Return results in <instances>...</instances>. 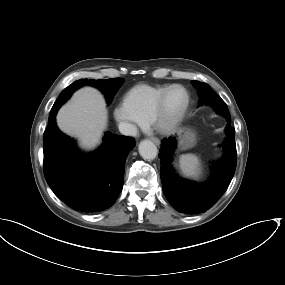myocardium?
Masks as SVG:
<instances>
[{"label": "myocardium", "mask_w": 285, "mask_h": 285, "mask_svg": "<svg viewBox=\"0 0 285 285\" xmlns=\"http://www.w3.org/2000/svg\"><path fill=\"white\" fill-rule=\"evenodd\" d=\"M176 88L181 89L185 93L186 100L181 110L175 116L171 117L170 119H167L166 106H167L168 96L170 92ZM190 104H191V97L189 91L183 85L172 84L168 86L164 91V93L162 94L160 100L158 101V103L156 104L155 108L152 111L148 124L161 134H172L177 130V128L183 122L190 107Z\"/></svg>", "instance_id": "f54148a6"}]
</instances>
